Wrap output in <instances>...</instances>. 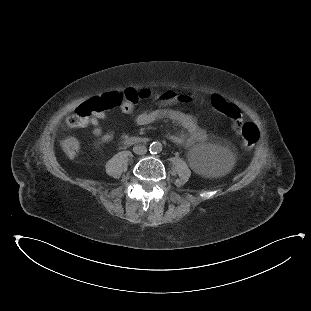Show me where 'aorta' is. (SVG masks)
Returning <instances> with one entry per match:
<instances>
[{
    "mask_svg": "<svg viewBox=\"0 0 311 311\" xmlns=\"http://www.w3.org/2000/svg\"><path fill=\"white\" fill-rule=\"evenodd\" d=\"M162 150V146L160 143L154 142L150 145L149 151L152 154H157Z\"/></svg>",
    "mask_w": 311,
    "mask_h": 311,
    "instance_id": "aorta-1",
    "label": "aorta"
}]
</instances>
